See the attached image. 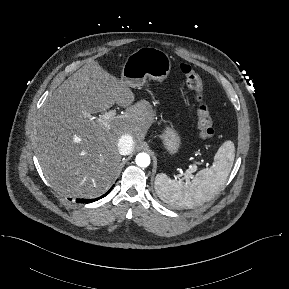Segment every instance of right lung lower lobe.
<instances>
[{"instance_id": "right-lung-lower-lobe-1", "label": "right lung lower lobe", "mask_w": 289, "mask_h": 289, "mask_svg": "<svg viewBox=\"0 0 289 289\" xmlns=\"http://www.w3.org/2000/svg\"><path fill=\"white\" fill-rule=\"evenodd\" d=\"M110 190H111V189H110ZM110 190H109L107 193H105L103 196H101L100 198L105 197V196L110 192ZM100 198L91 199V200H89V199H77L76 201H77V202H80V203H90V202H94V201H96V200H98V199H100Z\"/></svg>"}]
</instances>
